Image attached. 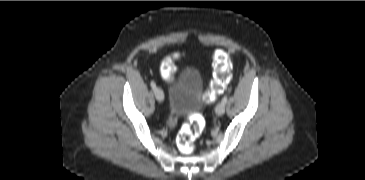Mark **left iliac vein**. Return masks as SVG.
<instances>
[{"mask_svg":"<svg viewBox=\"0 0 365 180\" xmlns=\"http://www.w3.org/2000/svg\"><path fill=\"white\" fill-rule=\"evenodd\" d=\"M215 112L219 116L223 115L225 112V104L223 102L218 103V105L215 108Z\"/></svg>","mask_w":365,"mask_h":180,"instance_id":"left-iliac-vein-1","label":"left iliac vein"}]
</instances>
